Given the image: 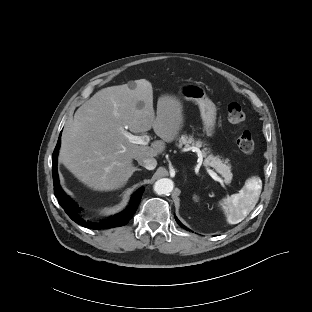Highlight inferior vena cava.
<instances>
[{
  "mask_svg": "<svg viewBox=\"0 0 312 312\" xmlns=\"http://www.w3.org/2000/svg\"><path fill=\"white\" fill-rule=\"evenodd\" d=\"M136 160L141 166L145 167L148 170H153L157 166V161L155 158L137 157Z\"/></svg>",
  "mask_w": 312,
  "mask_h": 312,
  "instance_id": "inferior-vena-cava-1",
  "label": "inferior vena cava"
}]
</instances>
